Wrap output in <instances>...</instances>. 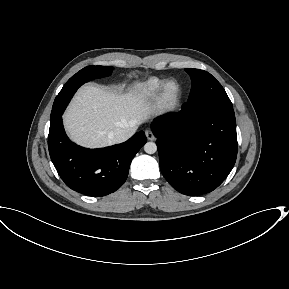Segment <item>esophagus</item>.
Masks as SVG:
<instances>
[{"instance_id": "obj_1", "label": "esophagus", "mask_w": 289, "mask_h": 289, "mask_svg": "<svg viewBox=\"0 0 289 289\" xmlns=\"http://www.w3.org/2000/svg\"><path fill=\"white\" fill-rule=\"evenodd\" d=\"M145 135H146L147 139L150 141H153L155 139L153 132H151L150 130H146Z\"/></svg>"}]
</instances>
